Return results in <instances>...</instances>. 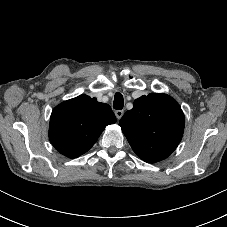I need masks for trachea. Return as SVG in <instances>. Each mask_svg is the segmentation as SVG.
Here are the masks:
<instances>
[{
    "label": "trachea",
    "mask_w": 227,
    "mask_h": 227,
    "mask_svg": "<svg viewBox=\"0 0 227 227\" xmlns=\"http://www.w3.org/2000/svg\"><path fill=\"white\" fill-rule=\"evenodd\" d=\"M124 106V99L121 93H116L114 96V103H113V108L116 110H121L123 109Z\"/></svg>",
    "instance_id": "3493384b"
}]
</instances>
